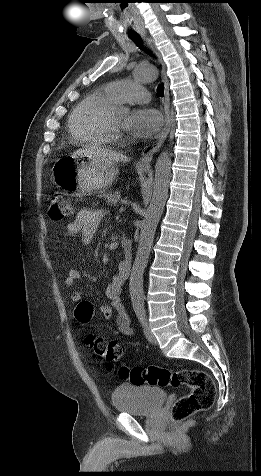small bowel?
<instances>
[{
	"instance_id": "c3829d8e",
	"label": "small bowel",
	"mask_w": 261,
	"mask_h": 476,
	"mask_svg": "<svg viewBox=\"0 0 261 476\" xmlns=\"http://www.w3.org/2000/svg\"><path fill=\"white\" fill-rule=\"evenodd\" d=\"M104 216V211L99 209L80 210L73 222L67 225L63 242L64 247L69 248L71 241L77 235L81 236L83 243H90L94 239ZM128 276L129 273L125 272L120 264L111 282L105 289V295L109 302L102 304L99 307V311L104 318L114 319L117 330L121 334L132 336L134 335V330L131 327L130 317L122 300V289ZM79 278L80 272L77 269L70 268L64 279V284L66 287H72ZM71 300L74 303L83 301L82 294L78 291L73 292Z\"/></svg>"
}]
</instances>
